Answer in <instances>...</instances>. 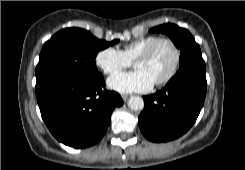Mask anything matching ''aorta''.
<instances>
[{
  "instance_id": "aorta-1",
  "label": "aorta",
  "mask_w": 245,
  "mask_h": 170,
  "mask_svg": "<svg viewBox=\"0 0 245 170\" xmlns=\"http://www.w3.org/2000/svg\"><path fill=\"white\" fill-rule=\"evenodd\" d=\"M128 107L134 111L142 110L144 108V101L139 96H132L128 101Z\"/></svg>"
}]
</instances>
